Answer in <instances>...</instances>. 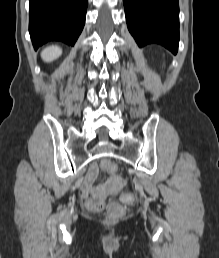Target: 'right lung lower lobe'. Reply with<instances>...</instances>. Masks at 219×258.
I'll use <instances>...</instances> for the list:
<instances>
[{
  "instance_id": "98d812e1",
  "label": "right lung lower lobe",
  "mask_w": 219,
  "mask_h": 258,
  "mask_svg": "<svg viewBox=\"0 0 219 258\" xmlns=\"http://www.w3.org/2000/svg\"><path fill=\"white\" fill-rule=\"evenodd\" d=\"M88 0H29V33L34 49L50 41L74 46L86 18Z\"/></svg>"
}]
</instances>
